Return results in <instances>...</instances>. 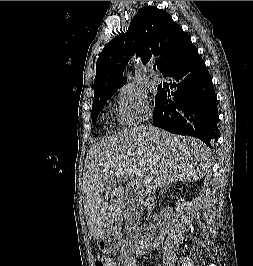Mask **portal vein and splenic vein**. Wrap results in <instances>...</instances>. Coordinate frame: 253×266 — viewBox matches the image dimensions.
Instances as JSON below:
<instances>
[{"label": "portal vein and splenic vein", "instance_id": "18ae733b", "mask_svg": "<svg viewBox=\"0 0 253 266\" xmlns=\"http://www.w3.org/2000/svg\"><path fill=\"white\" fill-rule=\"evenodd\" d=\"M123 180L125 181V180H127V178H123ZM138 186H139L138 181L137 180H134V179L129 184V187L133 188L134 190H136L138 188Z\"/></svg>", "mask_w": 253, "mask_h": 266}]
</instances>
